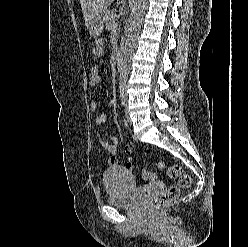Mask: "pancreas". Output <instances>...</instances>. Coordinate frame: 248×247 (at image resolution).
<instances>
[{
    "label": "pancreas",
    "instance_id": "obj_1",
    "mask_svg": "<svg viewBox=\"0 0 248 247\" xmlns=\"http://www.w3.org/2000/svg\"><path fill=\"white\" fill-rule=\"evenodd\" d=\"M104 20L106 22V28L108 30H114L117 26L116 10L106 11V13L104 15Z\"/></svg>",
    "mask_w": 248,
    "mask_h": 247
}]
</instances>
